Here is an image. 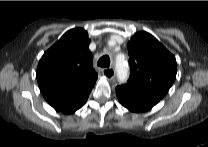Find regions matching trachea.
Returning <instances> with one entry per match:
<instances>
[{"label": "trachea", "mask_w": 208, "mask_h": 147, "mask_svg": "<svg viewBox=\"0 0 208 147\" xmlns=\"http://www.w3.org/2000/svg\"><path fill=\"white\" fill-rule=\"evenodd\" d=\"M97 65H98L99 67H106V68L109 67V66H110V58H109V56H108V55L102 56V57L98 60Z\"/></svg>", "instance_id": "1"}]
</instances>
